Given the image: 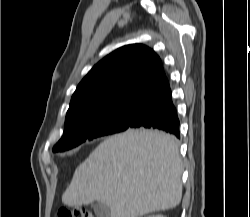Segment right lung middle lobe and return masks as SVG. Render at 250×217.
I'll use <instances>...</instances> for the list:
<instances>
[{"mask_svg":"<svg viewBox=\"0 0 250 217\" xmlns=\"http://www.w3.org/2000/svg\"><path fill=\"white\" fill-rule=\"evenodd\" d=\"M138 105L139 102L117 104L65 121L63 137L54 146L53 152L65 151L86 140L125 131L129 128Z\"/></svg>","mask_w":250,"mask_h":217,"instance_id":"right-lung-middle-lobe-1","label":"right lung middle lobe"}]
</instances>
